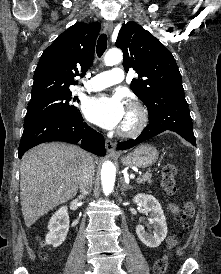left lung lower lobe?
<instances>
[{
  "label": "left lung lower lobe",
  "mask_w": 221,
  "mask_h": 274,
  "mask_svg": "<svg viewBox=\"0 0 221 274\" xmlns=\"http://www.w3.org/2000/svg\"><path fill=\"white\" fill-rule=\"evenodd\" d=\"M149 120V124L142 131L141 135L135 140L131 139L119 142L117 148L120 150L129 149L167 130L178 133L192 145L196 146L192 118L187 102L182 101L168 108L156 110L153 114H150Z\"/></svg>",
  "instance_id": "obj_1"
}]
</instances>
